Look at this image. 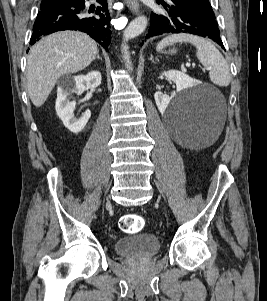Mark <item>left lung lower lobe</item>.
I'll return each mask as SVG.
<instances>
[{
    "label": "left lung lower lobe",
    "mask_w": 267,
    "mask_h": 301,
    "mask_svg": "<svg viewBox=\"0 0 267 301\" xmlns=\"http://www.w3.org/2000/svg\"><path fill=\"white\" fill-rule=\"evenodd\" d=\"M162 4L166 11L151 14L146 39L168 33H190L208 37L224 47L215 18L183 0H168Z\"/></svg>",
    "instance_id": "obj_1"
}]
</instances>
